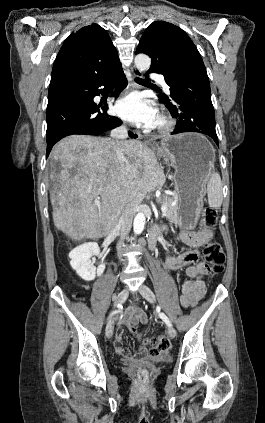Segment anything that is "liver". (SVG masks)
<instances>
[{"mask_svg":"<svg viewBox=\"0 0 265 423\" xmlns=\"http://www.w3.org/2000/svg\"><path fill=\"white\" fill-rule=\"evenodd\" d=\"M158 154L168 161L162 149ZM49 161L54 225L74 240L107 236L127 201L139 204L165 183L155 154L135 140L126 142L119 159L110 139L71 135L53 147ZM98 198L99 206L93 203Z\"/></svg>","mask_w":265,"mask_h":423,"instance_id":"1","label":"liver"}]
</instances>
